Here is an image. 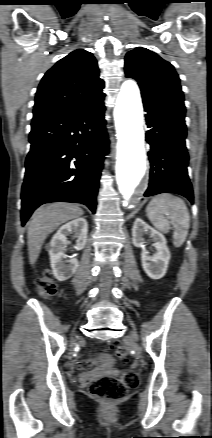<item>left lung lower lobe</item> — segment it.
<instances>
[{
	"instance_id": "0a47b994",
	"label": "left lung lower lobe",
	"mask_w": 212,
	"mask_h": 438,
	"mask_svg": "<svg viewBox=\"0 0 212 438\" xmlns=\"http://www.w3.org/2000/svg\"><path fill=\"white\" fill-rule=\"evenodd\" d=\"M150 128L146 140L151 150L150 182L144 196L176 193L193 203L194 195L187 166L189 156L185 146L187 135L185 113L143 101Z\"/></svg>"
}]
</instances>
